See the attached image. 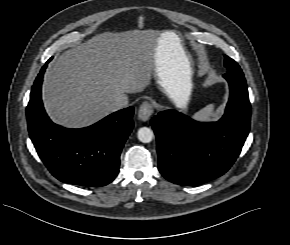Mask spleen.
I'll return each instance as SVG.
<instances>
[{
    "instance_id": "3e777b00",
    "label": "spleen",
    "mask_w": 290,
    "mask_h": 245,
    "mask_svg": "<svg viewBox=\"0 0 290 245\" xmlns=\"http://www.w3.org/2000/svg\"><path fill=\"white\" fill-rule=\"evenodd\" d=\"M194 118L201 121H215L217 114L214 111V104H209L200 111H198Z\"/></svg>"
}]
</instances>
